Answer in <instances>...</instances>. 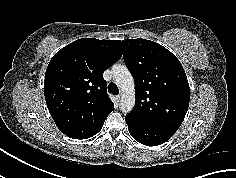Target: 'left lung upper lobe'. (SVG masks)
<instances>
[{
  "mask_svg": "<svg viewBox=\"0 0 236 178\" xmlns=\"http://www.w3.org/2000/svg\"><path fill=\"white\" fill-rule=\"evenodd\" d=\"M122 45L136 88L135 108L126 117L176 132L190 100L181 63L168 49L150 40L125 39Z\"/></svg>",
  "mask_w": 236,
  "mask_h": 178,
  "instance_id": "obj_1",
  "label": "left lung upper lobe"
}]
</instances>
